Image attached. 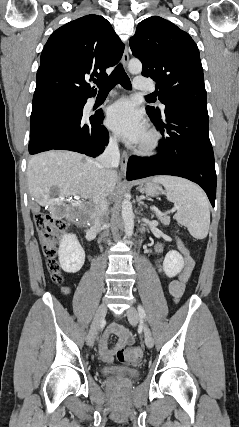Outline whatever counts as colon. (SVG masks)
Segmentation results:
<instances>
[{
	"instance_id": "1",
	"label": "colon",
	"mask_w": 239,
	"mask_h": 427,
	"mask_svg": "<svg viewBox=\"0 0 239 427\" xmlns=\"http://www.w3.org/2000/svg\"><path fill=\"white\" fill-rule=\"evenodd\" d=\"M35 223L43 243L44 254L49 260L48 267L52 278L57 284H62L63 277L55 260V256L57 236L64 230L65 225L62 222L53 219L50 215L44 213H39L35 216ZM155 249L158 250L159 254L165 253V248L162 247L161 243H156ZM161 257L163 258L164 256L162 255ZM155 267L157 275H165L166 266L163 261L157 262ZM63 290L64 292H68L67 288H63ZM117 358L121 363L137 365L142 358V349L140 347L123 348L118 351Z\"/></svg>"
}]
</instances>
